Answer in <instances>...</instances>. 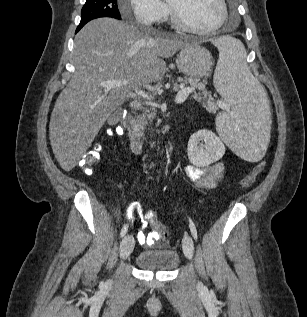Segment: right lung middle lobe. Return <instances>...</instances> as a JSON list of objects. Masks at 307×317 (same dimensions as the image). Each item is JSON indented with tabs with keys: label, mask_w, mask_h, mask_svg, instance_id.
Here are the masks:
<instances>
[{
	"label": "right lung middle lobe",
	"mask_w": 307,
	"mask_h": 317,
	"mask_svg": "<svg viewBox=\"0 0 307 317\" xmlns=\"http://www.w3.org/2000/svg\"><path fill=\"white\" fill-rule=\"evenodd\" d=\"M99 17H112L121 20L117 0H86L81 10L79 25H85L88 21Z\"/></svg>",
	"instance_id": "dd1d6c3e"
}]
</instances>
